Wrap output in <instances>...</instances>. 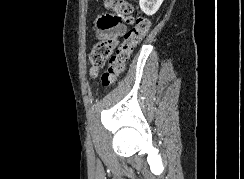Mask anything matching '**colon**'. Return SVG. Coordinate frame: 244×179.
Returning <instances> with one entry per match:
<instances>
[{"label":"colon","mask_w":244,"mask_h":179,"mask_svg":"<svg viewBox=\"0 0 244 179\" xmlns=\"http://www.w3.org/2000/svg\"><path fill=\"white\" fill-rule=\"evenodd\" d=\"M116 16L124 19L129 29L124 35L121 43H117L114 38H107L95 43L90 54V74L98 76L100 68L110 57L112 49H116L115 55L110 58L108 70L102 76V84L106 87L112 86L123 73L125 66L133 52L138 47L144 36L150 29V20L147 16L133 15L131 4L122 0H104Z\"/></svg>","instance_id":"obj_1"}]
</instances>
